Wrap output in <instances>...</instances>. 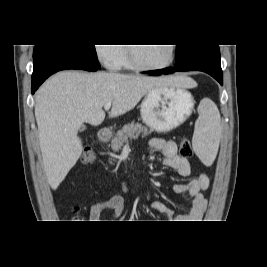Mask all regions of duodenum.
<instances>
[{
	"mask_svg": "<svg viewBox=\"0 0 267 267\" xmlns=\"http://www.w3.org/2000/svg\"><path fill=\"white\" fill-rule=\"evenodd\" d=\"M111 132L108 128H102L99 133V138L101 141H106L110 138Z\"/></svg>",
	"mask_w": 267,
	"mask_h": 267,
	"instance_id": "duodenum-1",
	"label": "duodenum"
}]
</instances>
